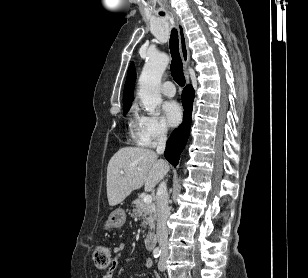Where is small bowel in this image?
Here are the masks:
<instances>
[{
	"instance_id": "small-bowel-1",
	"label": "small bowel",
	"mask_w": 308,
	"mask_h": 278,
	"mask_svg": "<svg viewBox=\"0 0 308 278\" xmlns=\"http://www.w3.org/2000/svg\"><path fill=\"white\" fill-rule=\"evenodd\" d=\"M124 251V244H120L117 247L114 248L113 250V254H114V260H113V264H112V269L115 268L118 264V259L121 257L122 253ZM152 262L151 260H146L145 261V266L146 267H151ZM111 269V270H112ZM102 278H112L111 276V271H109L108 273H106ZM158 278V277H156Z\"/></svg>"
}]
</instances>
